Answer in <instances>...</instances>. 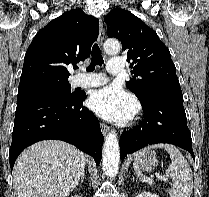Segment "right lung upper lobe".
<instances>
[{"instance_id": "right-lung-upper-lobe-1", "label": "right lung upper lobe", "mask_w": 209, "mask_h": 197, "mask_svg": "<svg viewBox=\"0 0 209 197\" xmlns=\"http://www.w3.org/2000/svg\"><path fill=\"white\" fill-rule=\"evenodd\" d=\"M99 21L81 9L63 13L33 38L24 57L19 87L42 82H68V65L90 55Z\"/></svg>"}]
</instances>
